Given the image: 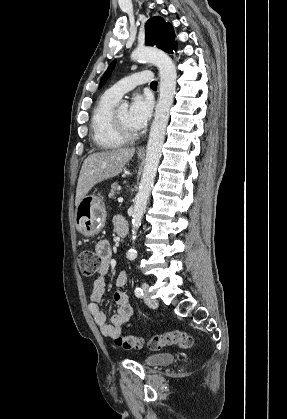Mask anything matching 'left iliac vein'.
<instances>
[{
  "label": "left iliac vein",
  "instance_id": "1",
  "mask_svg": "<svg viewBox=\"0 0 287 419\" xmlns=\"http://www.w3.org/2000/svg\"><path fill=\"white\" fill-rule=\"evenodd\" d=\"M142 289L144 291V296H143V300L145 302L146 305H148L149 307H156L158 305V302L156 299L151 298L150 293L148 291L149 286L147 283H143L142 284Z\"/></svg>",
  "mask_w": 287,
  "mask_h": 419
}]
</instances>
